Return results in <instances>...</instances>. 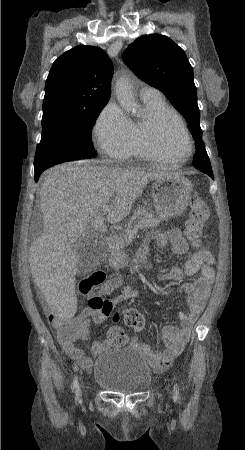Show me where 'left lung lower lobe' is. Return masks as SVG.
Returning <instances> with one entry per match:
<instances>
[{"mask_svg":"<svg viewBox=\"0 0 245 450\" xmlns=\"http://www.w3.org/2000/svg\"><path fill=\"white\" fill-rule=\"evenodd\" d=\"M196 149H197V154L200 155L202 157V159H204V157H206V151L204 149V145H196ZM202 172L208 174L212 179L213 177V173H212V169L210 170H203Z\"/></svg>","mask_w":245,"mask_h":450,"instance_id":"1","label":"left lung lower lobe"}]
</instances>
